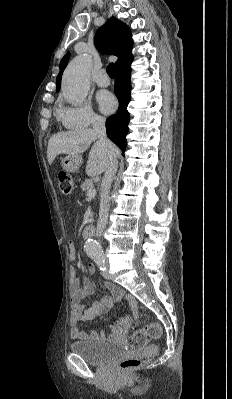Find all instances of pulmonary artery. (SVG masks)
Wrapping results in <instances>:
<instances>
[{
    "label": "pulmonary artery",
    "instance_id": "1",
    "mask_svg": "<svg viewBox=\"0 0 232 399\" xmlns=\"http://www.w3.org/2000/svg\"><path fill=\"white\" fill-rule=\"evenodd\" d=\"M94 83H97V90H106L107 86H109V77L106 75V71L104 69H98L97 75L94 77Z\"/></svg>",
    "mask_w": 232,
    "mask_h": 399
}]
</instances>
